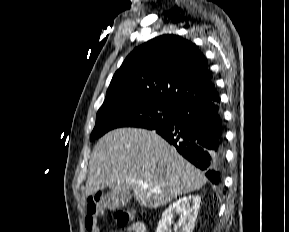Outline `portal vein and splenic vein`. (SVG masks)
<instances>
[{"label": "portal vein and splenic vein", "instance_id": "1", "mask_svg": "<svg viewBox=\"0 0 289 232\" xmlns=\"http://www.w3.org/2000/svg\"><path fill=\"white\" fill-rule=\"evenodd\" d=\"M142 187L146 189V188H148V185L146 183H142ZM154 191L155 192H160V190H154Z\"/></svg>", "mask_w": 289, "mask_h": 232}]
</instances>
